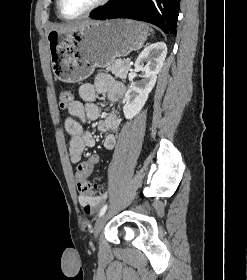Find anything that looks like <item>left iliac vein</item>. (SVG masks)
<instances>
[{"label":"left iliac vein","mask_w":247,"mask_h":280,"mask_svg":"<svg viewBox=\"0 0 247 280\" xmlns=\"http://www.w3.org/2000/svg\"><path fill=\"white\" fill-rule=\"evenodd\" d=\"M107 220V214H103L95 223L94 237L98 238Z\"/></svg>","instance_id":"obj_1"}]
</instances>
